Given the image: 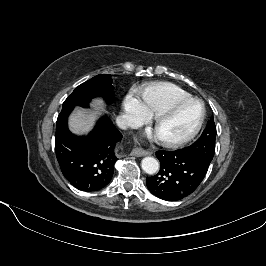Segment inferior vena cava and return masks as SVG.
<instances>
[{
    "label": "inferior vena cava",
    "instance_id": "602c4592",
    "mask_svg": "<svg viewBox=\"0 0 266 266\" xmlns=\"http://www.w3.org/2000/svg\"><path fill=\"white\" fill-rule=\"evenodd\" d=\"M116 123L121 129L139 127L138 121L134 117L126 114L118 116L116 119Z\"/></svg>",
    "mask_w": 266,
    "mask_h": 266
}]
</instances>
